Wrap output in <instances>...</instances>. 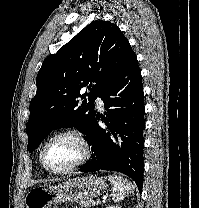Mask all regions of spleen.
<instances>
[{"mask_svg":"<svg viewBox=\"0 0 199 208\" xmlns=\"http://www.w3.org/2000/svg\"><path fill=\"white\" fill-rule=\"evenodd\" d=\"M107 178L112 183L113 201L119 202L134 191V185L127 179L116 175H108Z\"/></svg>","mask_w":199,"mask_h":208,"instance_id":"1","label":"spleen"}]
</instances>
